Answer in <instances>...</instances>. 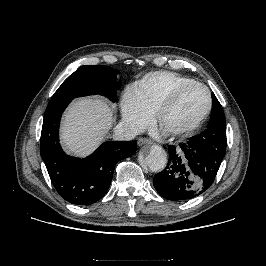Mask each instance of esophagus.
Returning <instances> with one entry per match:
<instances>
[{
	"label": "esophagus",
	"mask_w": 266,
	"mask_h": 266,
	"mask_svg": "<svg viewBox=\"0 0 266 266\" xmlns=\"http://www.w3.org/2000/svg\"><path fill=\"white\" fill-rule=\"evenodd\" d=\"M138 146H142L144 144H152L150 139L147 138H139L137 142Z\"/></svg>",
	"instance_id": "1"
}]
</instances>
